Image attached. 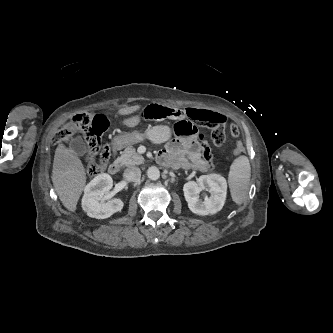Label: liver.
Returning <instances> with one entry per match:
<instances>
[{"label":"liver","instance_id":"6515ba94","mask_svg":"<svg viewBox=\"0 0 333 333\" xmlns=\"http://www.w3.org/2000/svg\"><path fill=\"white\" fill-rule=\"evenodd\" d=\"M140 105L121 108L118 113L128 115L140 109ZM52 182L62 204L69 210H76L77 202L86 183V173L82 161L71 149L60 144L56 148Z\"/></svg>","mask_w":333,"mask_h":333}]
</instances>
